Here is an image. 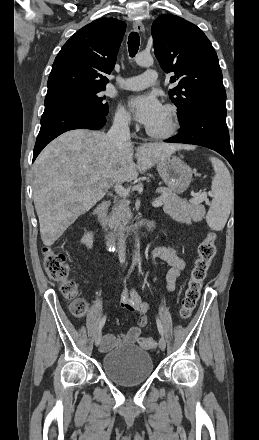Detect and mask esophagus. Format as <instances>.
Returning <instances> with one entry per match:
<instances>
[{
  "label": "esophagus",
  "instance_id": "34e87169",
  "mask_svg": "<svg viewBox=\"0 0 259 440\" xmlns=\"http://www.w3.org/2000/svg\"><path fill=\"white\" fill-rule=\"evenodd\" d=\"M133 29L138 33H142L144 31V26L140 21H134Z\"/></svg>",
  "mask_w": 259,
  "mask_h": 440
}]
</instances>
